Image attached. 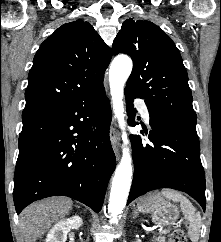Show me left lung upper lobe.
<instances>
[{
    "label": "left lung upper lobe",
    "instance_id": "left-lung-upper-lobe-1",
    "mask_svg": "<svg viewBox=\"0 0 221 242\" xmlns=\"http://www.w3.org/2000/svg\"><path fill=\"white\" fill-rule=\"evenodd\" d=\"M112 49L115 55L132 58L125 90L144 99L149 112L196 124L186 68L176 45L160 27L147 20L127 19Z\"/></svg>",
    "mask_w": 221,
    "mask_h": 242
}]
</instances>
